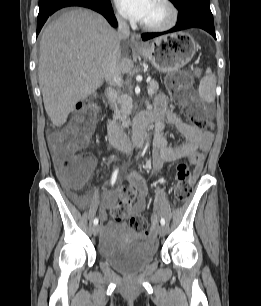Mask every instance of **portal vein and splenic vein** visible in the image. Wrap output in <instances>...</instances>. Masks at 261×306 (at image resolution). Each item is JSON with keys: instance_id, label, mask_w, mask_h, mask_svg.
<instances>
[{"instance_id": "18ae733b", "label": "portal vein and splenic vein", "mask_w": 261, "mask_h": 306, "mask_svg": "<svg viewBox=\"0 0 261 306\" xmlns=\"http://www.w3.org/2000/svg\"><path fill=\"white\" fill-rule=\"evenodd\" d=\"M148 93H150V89L148 88Z\"/></svg>"}]
</instances>
